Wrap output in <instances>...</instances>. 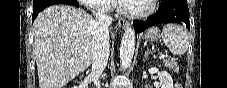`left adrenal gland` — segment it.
Listing matches in <instances>:
<instances>
[{"label": "left adrenal gland", "instance_id": "1", "mask_svg": "<svg viewBox=\"0 0 227 88\" xmlns=\"http://www.w3.org/2000/svg\"><path fill=\"white\" fill-rule=\"evenodd\" d=\"M149 54H150V50L147 48L144 55V61L147 59Z\"/></svg>", "mask_w": 227, "mask_h": 88}]
</instances>
